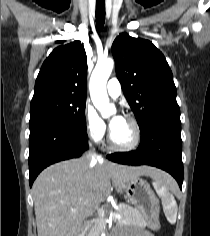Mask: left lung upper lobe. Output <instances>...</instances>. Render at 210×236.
<instances>
[{
	"label": "left lung upper lobe",
	"instance_id": "left-lung-upper-lobe-1",
	"mask_svg": "<svg viewBox=\"0 0 210 236\" xmlns=\"http://www.w3.org/2000/svg\"><path fill=\"white\" fill-rule=\"evenodd\" d=\"M112 54L140 129L155 118L180 117L171 69L152 42L122 33L113 42Z\"/></svg>",
	"mask_w": 210,
	"mask_h": 236
}]
</instances>
